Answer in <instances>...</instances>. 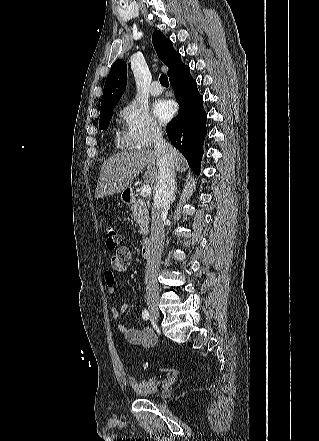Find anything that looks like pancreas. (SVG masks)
I'll list each match as a JSON object with an SVG mask.
<instances>
[{"mask_svg": "<svg viewBox=\"0 0 319 441\" xmlns=\"http://www.w3.org/2000/svg\"><path fill=\"white\" fill-rule=\"evenodd\" d=\"M131 211L134 216V219L136 220V222L140 227L139 230L140 234L146 236L149 231L148 230L149 217L145 202L142 199H139L131 206Z\"/></svg>", "mask_w": 319, "mask_h": 441, "instance_id": "obj_1", "label": "pancreas"}]
</instances>
